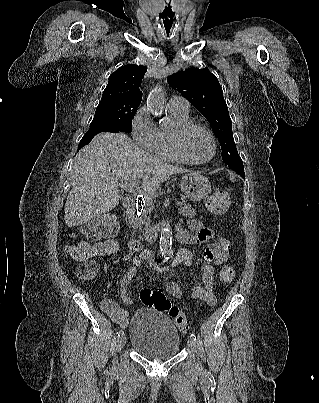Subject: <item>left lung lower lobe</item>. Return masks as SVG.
Returning a JSON list of instances; mask_svg holds the SVG:
<instances>
[{
  "instance_id": "0a47b994",
  "label": "left lung lower lobe",
  "mask_w": 319,
  "mask_h": 403,
  "mask_svg": "<svg viewBox=\"0 0 319 403\" xmlns=\"http://www.w3.org/2000/svg\"><path fill=\"white\" fill-rule=\"evenodd\" d=\"M239 175H241V176H243V177L245 178V172H244V173H242V174H239Z\"/></svg>"
}]
</instances>
